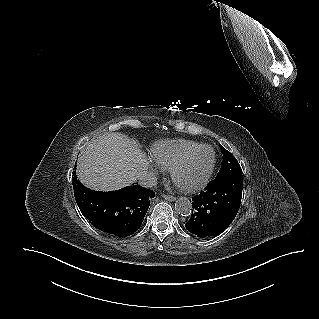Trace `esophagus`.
I'll return each instance as SVG.
<instances>
[{"mask_svg": "<svg viewBox=\"0 0 319 319\" xmlns=\"http://www.w3.org/2000/svg\"><path fill=\"white\" fill-rule=\"evenodd\" d=\"M163 198L165 200H168V201H175L176 198L174 196H171V195H163Z\"/></svg>", "mask_w": 319, "mask_h": 319, "instance_id": "esophagus-1", "label": "esophagus"}]
</instances>
